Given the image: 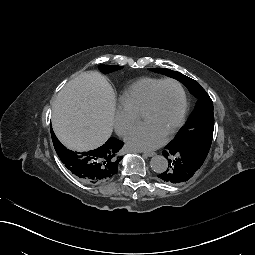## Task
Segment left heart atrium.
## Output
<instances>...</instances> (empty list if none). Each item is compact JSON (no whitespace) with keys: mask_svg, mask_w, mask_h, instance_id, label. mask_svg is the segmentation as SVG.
<instances>
[{"mask_svg":"<svg viewBox=\"0 0 255 255\" xmlns=\"http://www.w3.org/2000/svg\"><path fill=\"white\" fill-rule=\"evenodd\" d=\"M129 147L140 150H151L163 144L164 138L142 123L133 127L126 136Z\"/></svg>","mask_w":255,"mask_h":255,"instance_id":"1","label":"left heart atrium"}]
</instances>
